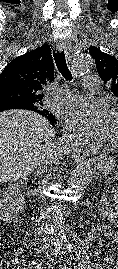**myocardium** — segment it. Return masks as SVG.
<instances>
[{
	"label": "myocardium",
	"instance_id": "1",
	"mask_svg": "<svg viewBox=\"0 0 118 269\" xmlns=\"http://www.w3.org/2000/svg\"><path fill=\"white\" fill-rule=\"evenodd\" d=\"M112 112H118V105H115V106L112 108ZM106 145H107L108 147L113 148V149H115V150L118 151V143L108 142Z\"/></svg>",
	"mask_w": 118,
	"mask_h": 269
}]
</instances>
